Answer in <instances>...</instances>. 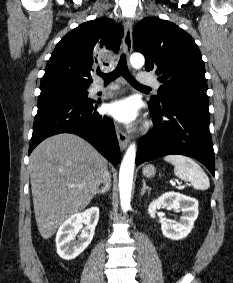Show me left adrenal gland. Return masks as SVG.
Returning <instances> with one entry per match:
<instances>
[{
  "instance_id": "1",
  "label": "left adrenal gland",
  "mask_w": 233,
  "mask_h": 283,
  "mask_svg": "<svg viewBox=\"0 0 233 283\" xmlns=\"http://www.w3.org/2000/svg\"><path fill=\"white\" fill-rule=\"evenodd\" d=\"M142 183H143V187L141 189V195L143 196L145 194L146 190L151 191V188L146 185V181L145 180H143Z\"/></svg>"
}]
</instances>
